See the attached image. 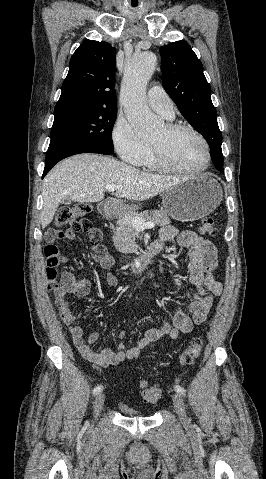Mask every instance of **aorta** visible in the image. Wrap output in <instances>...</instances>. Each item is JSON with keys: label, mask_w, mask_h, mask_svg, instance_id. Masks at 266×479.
Returning a JSON list of instances; mask_svg holds the SVG:
<instances>
[{"label": "aorta", "mask_w": 266, "mask_h": 479, "mask_svg": "<svg viewBox=\"0 0 266 479\" xmlns=\"http://www.w3.org/2000/svg\"><path fill=\"white\" fill-rule=\"evenodd\" d=\"M155 64V55L146 51L135 54L125 66L120 100L128 122L140 136L152 134L162 124L146 103V86L155 70Z\"/></svg>", "instance_id": "762f6f07"}]
</instances>
